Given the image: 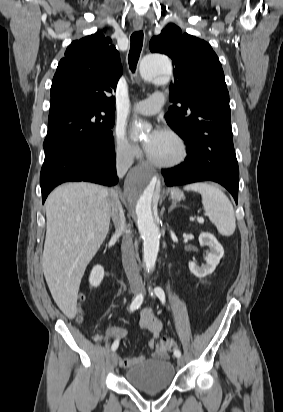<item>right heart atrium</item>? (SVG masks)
<instances>
[{
  "label": "right heart atrium",
  "mask_w": 283,
  "mask_h": 412,
  "mask_svg": "<svg viewBox=\"0 0 283 412\" xmlns=\"http://www.w3.org/2000/svg\"><path fill=\"white\" fill-rule=\"evenodd\" d=\"M113 146L116 156L125 162H132L141 154L139 146L130 140L120 127L113 131Z\"/></svg>",
  "instance_id": "right-heart-atrium-1"
}]
</instances>
